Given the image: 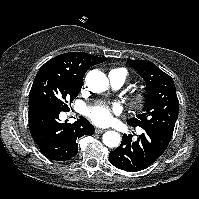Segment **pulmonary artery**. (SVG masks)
<instances>
[{"instance_id":"pulmonary-artery-1","label":"pulmonary artery","mask_w":199,"mask_h":199,"mask_svg":"<svg viewBox=\"0 0 199 199\" xmlns=\"http://www.w3.org/2000/svg\"><path fill=\"white\" fill-rule=\"evenodd\" d=\"M109 80L113 88H120L125 82V75L120 70H111L109 72Z\"/></svg>"}]
</instances>
